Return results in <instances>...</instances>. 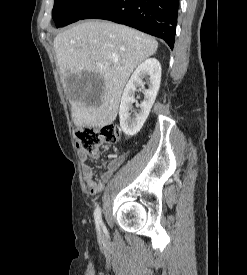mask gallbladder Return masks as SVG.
I'll list each match as a JSON object with an SVG mask.
<instances>
[{"label":"gallbladder","mask_w":247,"mask_h":275,"mask_svg":"<svg viewBox=\"0 0 247 275\" xmlns=\"http://www.w3.org/2000/svg\"><path fill=\"white\" fill-rule=\"evenodd\" d=\"M67 87L84 100L91 95L103 93L102 78L98 74L81 72L67 77Z\"/></svg>","instance_id":"bac80fb5"}]
</instances>
